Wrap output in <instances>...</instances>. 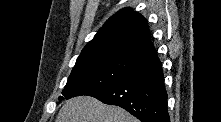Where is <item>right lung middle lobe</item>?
<instances>
[{
  "instance_id": "dd1d6c3e",
  "label": "right lung middle lobe",
  "mask_w": 221,
  "mask_h": 122,
  "mask_svg": "<svg viewBox=\"0 0 221 122\" xmlns=\"http://www.w3.org/2000/svg\"><path fill=\"white\" fill-rule=\"evenodd\" d=\"M135 63L129 58L102 57L77 64L62 94L69 99L104 89L121 79Z\"/></svg>"
}]
</instances>
